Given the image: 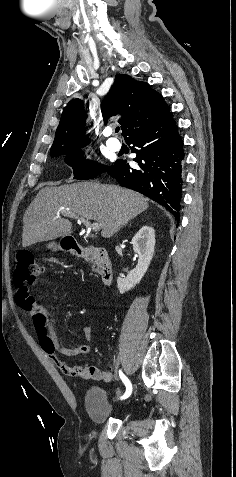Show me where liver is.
<instances>
[{"label": "liver", "mask_w": 236, "mask_h": 477, "mask_svg": "<svg viewBox=\"0 0 236 477\" xmlns=\"http://www.w3.org/2000/svg\"><path fill=\"white\" fill-rule=\"evenodd\" d=\"M148 208V199L116 185L79 182L47 186L39 191L23 218L22 246L65 237L72 224L62 211L93 220L103 238L112 237L130 219Z\"/></svg>", "instance_id": "liver-1"}]
</instances>
